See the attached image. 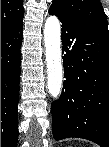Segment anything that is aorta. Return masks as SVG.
Returning <instances> with one entry per match:
<instances>
[{"label": "aorta", "instance_id": "aorta-1", "mask_svg": "<svg viewBox=\"0 0 109 147\" xmlns=\"http://www.w3.org/2000/svg\"><path fill=\"white\" fill-rule=\"evenodd\" d=\"M46 62L48 72V90L52 97L57 98L62 87L61 29L56 16L47 18L44 27Z\"/></svg>", "mask_w": 109, "mask_h": 147}]
</instances>
